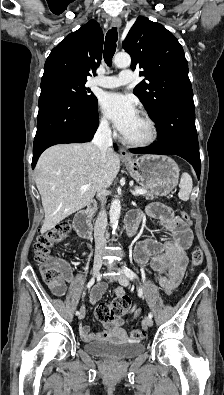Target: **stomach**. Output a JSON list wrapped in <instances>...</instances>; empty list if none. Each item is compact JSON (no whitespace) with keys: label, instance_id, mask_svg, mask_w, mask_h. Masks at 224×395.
Wrapping results in <instances>:
<instances>
[{"label":"stomach","instance_id":"stomach-1","mask_svg":"<svg viewBox=\"0 0 224 395\" xmlns=\"http://www.w3.org/2000/svg\"><path fill=\"white\" fill-rule=\"evenodd\" d=\"M125 166L137 183L157 196H166L178 183L180 169L166 156L144 155L126 160Z\"/></svg>","mask_w":224,"mask_h":395}]
</instances>
